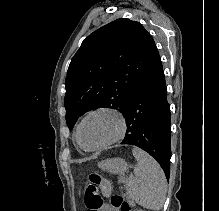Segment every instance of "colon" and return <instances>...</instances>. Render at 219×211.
Returning <instances> with one entry per match:
<instances>
[{
    "mask_svg": "<svg viewBox=\"0 0 219 211\" xmlns=\"http://www.w3.org/2000/svg\"><path fill=\"white\" fill-rule=\"evenodd\" d=\"M89 181L92 185L100 187L104 195L109 197L110 204L119 211H132L131 204L121 195H111V183L106 180L98 171H92L89 175Z\"/></svg>",
    "mask_w": 219,
    "mask_h": 211,
    "instance_id": "obj_1",
    "label": "colon"
}]
</instances>
